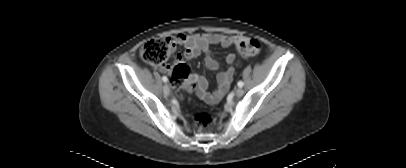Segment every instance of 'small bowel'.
Instances as JSON below:
<instances>
[{
    "mask_svg": "<svg viewBox=\"0 0 406 168\" xmlns=\"http://www.w3.org/2000/svg\"><path fill=\"white\" fill-rule=\"evenodd\" d=\"M243 41H246V38L238 35H224L219 33L178 34L172 39V52L175 51L177 45L183 46L184 52L175 55L174 65L185 64V61L195 59L203 53L205 55L206 67L209 70H217L220 64L211 54V45H220L222 47L234 46L238 48ZM224 60L228 65H231L235 61V55L229 53L225 56ZM159 69L161 72L173 75L174 69L167 63L161 64ZM233 76L234 68L231 66L219 73L217 76V88L212 93L207 91V80L198 74L189 73L186 78H180L179 82L184 80V85L187 89H190L193 84H196L198 97L208 104H214L220 101L226 94L233 80Z\"/></svg>",
    "mask_w": 406,
    "mask_h": 168,
    "instance_id": "obj_1",
    "label": "small bowel"
}]
</instances>
